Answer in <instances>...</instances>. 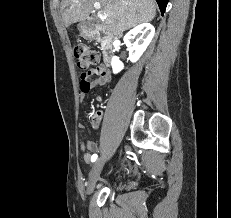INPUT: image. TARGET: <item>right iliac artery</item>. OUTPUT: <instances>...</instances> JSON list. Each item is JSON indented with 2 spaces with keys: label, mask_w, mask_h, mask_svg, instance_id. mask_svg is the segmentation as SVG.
<instances>
[{
  "label": "right iliac artery",
  "mask_w": 231,
  "mask_h": 218,
  "mask_svg": "<svg viewBox=\"0 0 231 218\" xmlns=\"http://www.w3.org/2000/svg\"><path fill=\"white\" fill-rule=\"evenodd\" d=\"M96 159H97V154H93L91 157V161L94 162L96 161Z\"/></svg>",
  "instance_id": "right-iliac-artery-1"
}]
</instances>
